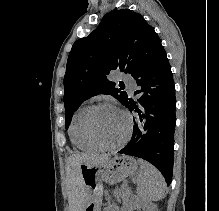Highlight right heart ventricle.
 I'll list each match as a JSON object with an SVG mask.
<instances>
[{
    "label": "right heart ventricle",
    "mask_w": 219,
    "mask_h": 211,
    "mask_svg": "<svg viewBox=\"0 0 219 211\" xmlns=\"http://www.w3.org/2000/svg\"><path fill=\"white\" fill-rule=\"evenodd\" d=\"M88 109V105H82L74 111L69 126V135L76 147L85 152L94 153L99 151L100 148L90 142L84 130V119Z\"/></svg>",
    "instance_id": "e07e8e85"
}]
</instances>
